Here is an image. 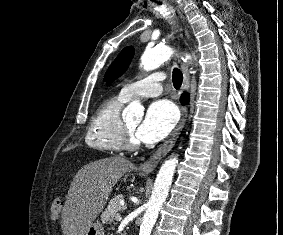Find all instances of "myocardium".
<instances>
[{"mask_svg": "<svg viewBox=\"0 0 283 235\" xmlns=\"http://www.w3.org/2000/svg\"><path fill=\"white\" fill-rule=\"evenodd\" d=\"M120 145L124 150L134 151L139 148V142L123 122L120 129Z\"/></svg>", "mask_w": 283, "mask_h": 235, "instance_id": "obj_1", "label": "myocardium"}]
</instances>
